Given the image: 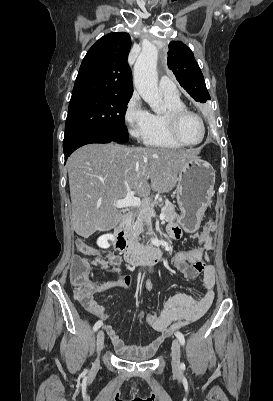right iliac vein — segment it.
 Listing matches in <instances>:
<instances>
[{
  "label": "right iliac vein",
  "mask_w": 273,
  "mask_h": 401,
  "mask_svg": "<svg viewBox=\"0 0 273 401\" xmlns=\"http://www.w3.org/2000/svg\"><path fill=\"white\" fill-rule=\"evenodd\" d=\"M103 346H104V332L103 330H100L96 337L97 358L94 362V368H97L99 366V355L103 349Z\"/></svg>",
  "instance_id": "1"
}]
</instances>
